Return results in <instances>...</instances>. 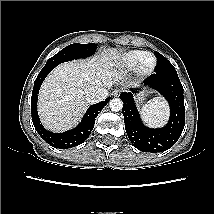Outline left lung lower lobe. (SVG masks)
<instances>
[{
    "mask_svg": "<svg viewBox=\"0 0 214 214\" xmlns=\"http://www.w3.org/2000/svg\"><path fill=\"white\" fill-rule=\"evenodd\" d=\"M144 86L159 91L166 98L170 106V119L163 128L146 127L141 121L133 97L138 89L123 92L120 98L123 101L122 113L126 133L133 146L143 152L166 151L177 142L185 125L182 84L177 72H156L145 80Z\"/></svg>",
    "mask_w": 214,
    "mask_h": 214,
    "instance_id": "obj_1",
    "label": "left lung lower lobe"
}]
</instances>
